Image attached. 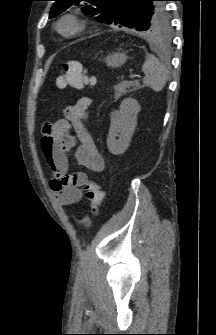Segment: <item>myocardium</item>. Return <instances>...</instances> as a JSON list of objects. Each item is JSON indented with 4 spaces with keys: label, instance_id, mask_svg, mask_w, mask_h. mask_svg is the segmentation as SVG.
<instances>
[{
    "label": "myocardium",
    "instance_id": "myocardium-1",
    "mask_svg": "<svg viewBox=\"0 0 216 335\" xmlns=\"http://www.w3.org/2000/svg\"><path fill=\"white\" fill-rule=\"evenodd\" d=\"M69 24L68 30H63L62 25ZM86 27L85 22L75 13L62 15L55 24L56 31L64 37H73L82 32Z\"/></svg>",
    "mask_w": 216,
    "mask_h": 335
}]
</instances>
